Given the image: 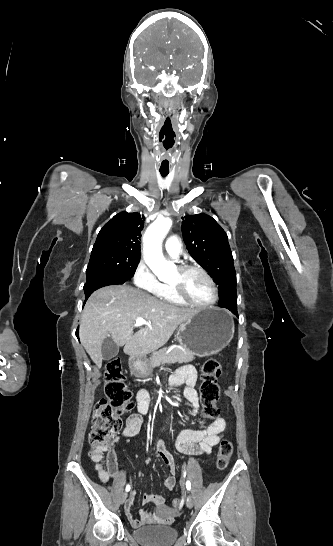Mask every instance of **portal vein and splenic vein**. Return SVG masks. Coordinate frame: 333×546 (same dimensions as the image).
<instances>
[{
	"mask_svg": "<svg viewBox=\"0 0 333 546\" xmlns=\"http://www.w3.org/2000/svg\"><path fill=\"white\" fill-rule=\"evenodd\" d=\"M142 325H150L148 321H146L145 319H143L142 317H138L135 321V324L134 326L135 327H140Z\"/></svg>",
	"mask_w": 333,
	"mask_h": 546,
	"instance_id": "18ae733b",
	"label": "portal vein and splenic vein"
}]
</instances>
